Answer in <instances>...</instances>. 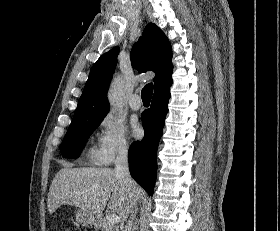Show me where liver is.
Listing matches in <instances>:
<instances>
[{
    "label": "liver",
    "mask_w": 280,
    "mask_h": 231,
    "mask_svg": "<svg viewBox=\"0 0 280 231\" xmlns=\"http://www.w3.org/2000/svg\"><path fill=\"white\" fill-rule=\"evenodd\" d=\"M142 187L129 185L125 177L116 175L110 167H68L56 173L49 189L47 209L54 213L68 203L86 209L91 217L100 219L106 205L126 221L134 197H141Z\"/></svg>",
    "instance_id": "6515ba94"
}]
</instances>
